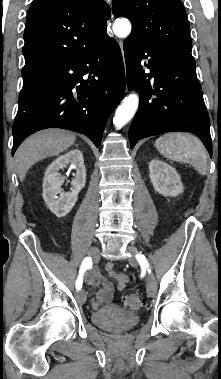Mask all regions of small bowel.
Wrapping results in <instances>:
<instances>
[{
	"instance_id": "obj_1",
	"label": "small bowel",
	"mask_w": 221,
	"mask_h": 379,
	"mask_svg": "<svg viewBox=\"0 0 221 379\" xmlns=\"http://www.w3.org/2000/svg\"><path fill=\"white\" fill-rule=\"evenodd\" d=\"M105 269L110 278L114 280L115 285L98 272L87 274L85 276L86 283L93 285L96 288L95 298L91 300V306L94 309H97L103 303L111 301L115 288L118 291L124 290L129 280L127 275L116 272L113 269V264L111 262L106 263Z\"/></svg>"
}]
</instances>
